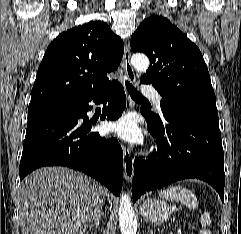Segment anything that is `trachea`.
Listing matches in <instances>:
<instances>
[{"label":"trachea","instance_id":"1","mask_svg":"<svg viewBox=\"0 0 241 234\" xmlns=\"http://www.w3.org/2000/svg\"><path fill=\"white\" fill-rule=\"evenodd\" d=\"M126 88L133 99H144V97L139 92H137V90L132 86L129 81H126Z\"/></svg>","mask_w":241,"mask_h":234}]
</instances>
